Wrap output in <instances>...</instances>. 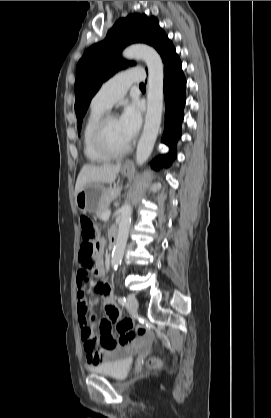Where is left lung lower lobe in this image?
I'll list each match as a JSON object with an SVG mask.
<instances>
[{
  "label": "left lung lower lobe",
  "instance_id": "obj_1",
  "mask_svg": "<svg viewBox=\"0 0 271 418\" xmlns=\"http://www.w3.org/2000/svg\"><path fill=\"white\" fill-rule=\"evenodd\" d=\"M160 55L164 63V96H165V130L162 142L169 145L171 151L168 155L158 157L152 162V167L156 164L168 167L176 157L175 146L181 136V123L183 121V108L186 101L185 89L186 79L181 68V61L176 54L172 42L167 39L161 50Z\"/></svg>",
  "mask_w": 271,
  "mask_h": 418
}]
</instances>
